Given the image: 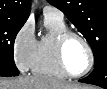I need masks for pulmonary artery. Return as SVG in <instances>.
<instances>
[{
    "label": "pulmonary artery",
    "mask_w": 107,
    "mask_h": 89,
    "mask_svg": "<svg viewBox=\"0 0 107 89\" xmlns=\"http://www.w3.org/2000/svg\"><path fill=\"white\" fill-rule=\"evenodd\" d=\"M43 14L45 17H54L60 20H63V13L57 8L47 5L43 9Z\"/></svg>",
    "instance_id": "e3ab8cb5"
}]
</instances>
